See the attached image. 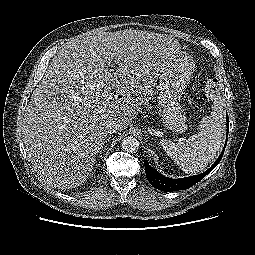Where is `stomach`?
I'll use <instances>...</instances> for the list:
<instances>
[{
	"label": "stomach",
	"instance_id": "1",
	"mask_svg": "<svg viewBox=\"0 0 255 255\" xmlns=\"http://www.w3.org/2000/svg\"><path fill=\"white\" fill-rule=\"evenodd\" d=\"M194 69L191 55L180 51L159 75L158 100L163 124L175 132L182 133L187 129L179 100Z\"/></svg>",
	"mask_w": 255,
	"mask_h": 255
}]
</instances>
